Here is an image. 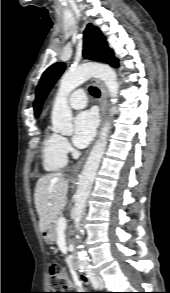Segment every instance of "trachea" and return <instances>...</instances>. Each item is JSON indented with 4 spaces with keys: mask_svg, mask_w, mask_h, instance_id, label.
<instances>
[{
    "mask_svg": "<svg viewBox=\"0 0 170 293\" xmlns=\"http://www.w3.org/2000/svg\"><path fill=\"white\" fill-rule=\"evenodd\" d=\"M89 91H90L91 95H93L94 97H99L100 96V91L96 87H90Z\"/></svg>",
    "mask_w": 170,
    "mask_h": 293,
    "instance_id": "3493384b",
    "label": "trachea"
}]
</instances>
